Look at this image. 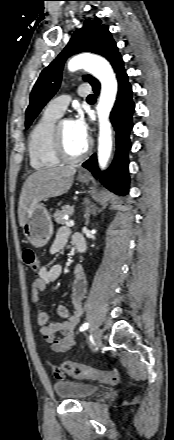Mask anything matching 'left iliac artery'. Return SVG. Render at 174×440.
<instances>
[{
    "label": "left iliac artery",
    "instance_id": "obj_1",
    "mask_svg": "<svg viewBox=\"0 0 174 440\" xmlns=\"http://www.w3.org/2000/svg\"><path fill=\"white\" fill-rule=\"evenodd\" d=\"M89 327V323H84L81 327H80V331H84L86 329H88Z\"/></svg>",
    "mask_w": 174,
    "mask_h": 440
}]
</instances>
